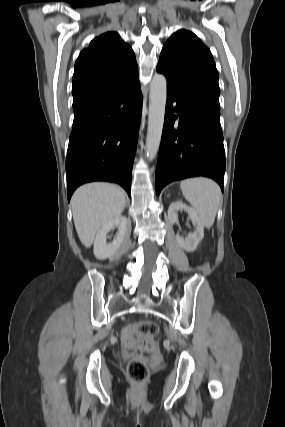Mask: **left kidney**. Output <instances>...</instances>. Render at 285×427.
<instances>
[{"label":"left kidney","mask_w":285,"mask_h":427,"mask_svg":"<svg viewBox=\"0 0 285 427\" xmlns=\"http://www.w3.org/2000/svg\"><path fill=\"white\" fill-rule=\"evenodd\" d=\"M178 211H185L189 214L195 231L188 235L187 238H183L177 234L176 239L178 244L187 252H193L196 250L198 244L204 237V227L197 216L195 210L182 202H173L168 209V219L171 223H175L178 220Z\"/></svg>","instance_id":"obj_1"}]
</instances>
